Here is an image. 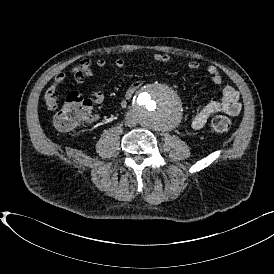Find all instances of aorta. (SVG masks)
Instances as JSON below:
<instances>
[{"instance_id":"aorta-1","label":"aorta","mask_w":274,"mask_h":274,"mask_svg":"<svg viewBox=\"0 0 274 274\" xmlns=\"http://www.w3.org/2000/svg\"><path fill=\"white\" fill-rule=\"evenodd\" d=\"M135 113L144 127L166 130L181 118L182 105L171 87L153 83L145 86L135 99Z\"/></svg>"}]
</instances>
